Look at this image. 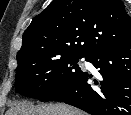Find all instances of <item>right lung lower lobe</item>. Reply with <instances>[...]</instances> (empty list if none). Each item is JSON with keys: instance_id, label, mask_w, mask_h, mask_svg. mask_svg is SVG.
<instances>
[{"instance_id": "1", "label": "right lung lower lobe", "mask_w": 131, "mask_h": 115, "mask_svg": "<svg viewBox=\"0 0 131 115\" xmlns=\"http://www.w3.org/2000/svg\"><path fill=\"white\" fill-rule=\"evenodd\" d=\"M87 61L99 68L100 81L82 72L55 100L92 115H131V45L100 51Z\"/></svg>"}]
</instances>
